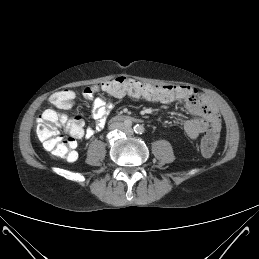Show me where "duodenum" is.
I'll return each instance as SVG.
<instances>
[{
  "instance_id": "duodenum-1",
  "label": "duodenum",
  "mask_w": 259,
  "mask_h": 259,
  "mask_svg": "<svg viewBox=\"0 0 259 259\" xmlns=\"http://www.w3.org/2000/svg\"><path fill=\"white\" fill-rule=\"evenodd\" d=\"M135 119L132 116L129 115H117L115 117L112 118V122L113 123H118V122H126V121H134Z\"/></svg>"
}]
</instances>
